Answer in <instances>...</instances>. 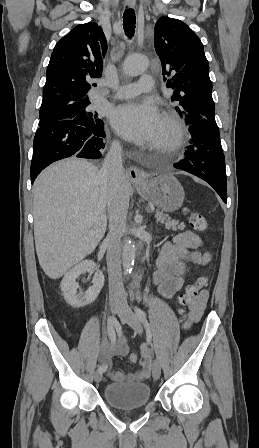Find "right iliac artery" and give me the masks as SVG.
I'll use <instances>...</instances> for the list:
<instances>
[{
	"label": "right iliac artery",
	"mask_w": 259,
	"mask_h": 448,
	"mask_svg": "<svg viewBox=\"0 0 259 448\" xmlns=\"http://www.w3.org/2000/svg\"><path fill=\"white\" fill-rule=\"evenodd\" d=\"M116 324V319L113 317H108L107 320V333H108V337L110 339L111 342H114L116 340V334H115V329H114V325ZM107 370V365L103 364L98 368V371L101 373H104Z\"/></svg>",
	"instance_id": "82829eb1"
}]
</instances>
